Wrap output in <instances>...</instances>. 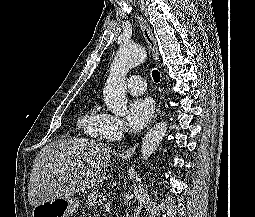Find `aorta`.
<instances>
[{
	"label": "aorta",
	"instance_id": "obj_1",
	"mask_svg": "<svg viewBox=\"0 0 255 217\" xmlns=\"http://www.w3.org/2000/svg\"><path fill=\"white\" fill-rule=\"evenodd\" d=\"M146 51L139 46L121 45L110 66L109 76L103 89V98L109 111L115 115L127 114V98L125 94V76L127 72L144 62ZM167 131V123L160 122L153 126L144 136L141 155L146 161L157 149ZM146 191L141 190L139 205L134 210V217H139L144 202Z\"/></svg>",
	"mask_w": 255,
	"mask_h": 217
}]
</instances>
